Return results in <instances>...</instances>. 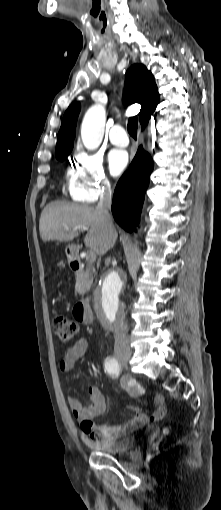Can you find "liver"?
Masks as SVG:
<instances>
[{"label": "liver", "instance_id": "obj_1", "mask_svg": "<svg viewBox=\"0 0 221 510\" xmlns=\"http://www.w3.org/2000/svg\"><path fill=\"white\" fill-rule=\"evenodd\" d=\"M89 229L84 244L97 255H104L117 240V231L104 226L100 214L88 205L54 201L43 209L39 221L43 241H71L78 235L79 227Z\"/></svg>", "mask_w": 221, "mask_h": 510}]
</instances>
